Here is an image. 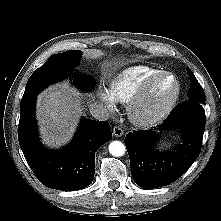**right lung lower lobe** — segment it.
Here are the masks:
<instances>
[{"label": "right lung lower lobe", "instance_id": "obj_1", "mask_svg": "<svg viewBox=\"0 0 221 221\" xmlns=\"http://www.w3.org/2000/svg\"><path fill=\"white\" fill-rule=\"evenodd\" d=\"M34 104L35 97L20 106L18 140L35 176L45 186L57 190L74 191L88 186L95 174V152L112 138L109 124L85 119L72 144L51 151L38 140Z\"/></svg>", "mask_w": 221, "mask_h": 221}]
</instances>
